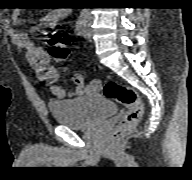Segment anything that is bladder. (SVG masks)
Segmentation results:
<instances>
[{
	"instance_id": "1",
	"label": "bladder",
	"mask_w": 192,
	"mask_h": 180,
	"mask_svg": "<svg viewBox=\"0 0 192 180\" xmlns=\"http://www.w3.org/2000/svg\"><path fill=\"white\" fill-rule=\"evenodd\" d=\"M48 109L58 124L72 129L88 127L117 112V106L101 95L66 101H50Z\"/></svg>"
}]
</instances>
